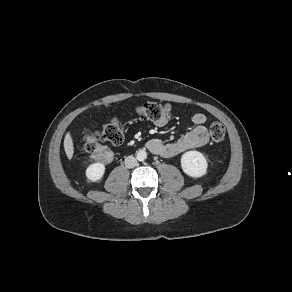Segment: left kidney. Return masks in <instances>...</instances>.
Masks as SVG:
<instances>
[{
	"instance_id": "5707ae66",
	"label": "left kidney",
	"mask_w": 292,
	"mask_h": 292,
	"mask_svg": "<svg viewBox=\"0 0 292 292\" xmlns=\"http://www.w3.org/2000/svg\"><path fill=\"white\" fill-rule=\"evenodd\" d=\"M181 167L188 176L199 178L207 173L208 163L202 153L188 151L181 157Z\"/></svg>"
}]
</instances>
